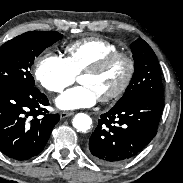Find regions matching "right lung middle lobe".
<instances>
[{
	"mask_svg": "<svg viewBox=\"0 0 183 183\" xmlns=\"http://www.w3.org/2000/svg\"><path fill=\"white\" fill-rule=\"evenodd\" d=\"M55 31H32L17 36L0 47V87L33 85L31 66L45 48L62 38Z\"/></svg>",
	"mask_w": 183,
	"mask_h": 183,
	"instance_id": "right-lung-middle-lobe-1",
	"label": "right lung middle lobe"
}]
</instances>
